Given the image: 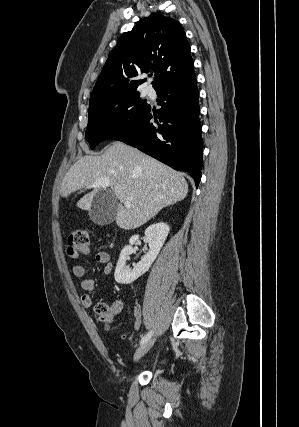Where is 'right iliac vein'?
Wrapping results in <instances>:
<instances>
[{
  "mask_svg": "<svg viewBox=\"0 0 299 427\" xmlns=\"http://www.w3.org/2000/svg\"><path fill=\"white\" fill-rule=\"evenodd\" d=\"M154 339L148 340L147 342L143 343L135 352L134 354V360L138 361L141 357H143L153 346Z\"/></svg>",
  "mask_w": 299,
  "mask_h": 427,
  "instance_id": "obj_1",
  "label": "right iliac vein"
}]
</instances>
